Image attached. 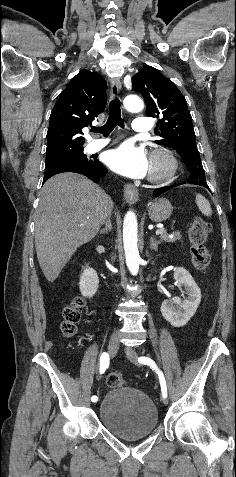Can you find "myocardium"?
<instances>
[{
    "label": "myocardium",
    "instance_id": "1",
    "mask_svg": "<svg viewBox=\"0 0 236 477\" xmlns=\"http://www.w3.org/2000/svg\"><path fill=\"white\" fill-rule=\"evenodd\" d=\"M151 161L160 162L162 167L158 172H150L149 181L153 183H163L171 179L177 169L178 161L173 154L167 148H156L151 153Z\"/></svg>",
    "mask_w": 236,
    "mask_h": 477
}]
</instances>
